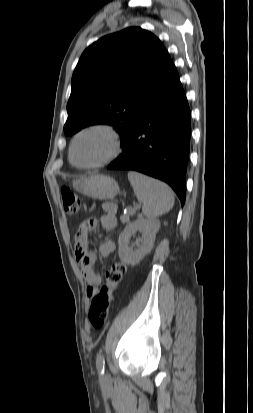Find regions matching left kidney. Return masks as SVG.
Returning a JSON list of instances; mask_svg holds the SVG:
<instances>
[{
    "instance_id": "left-kidney-1",
    "label": "left kidney",
    "mask_w": 253,
    "mask_h": 413,
    "mask_svg": "<svg viewBox=\"0 0 253 413\" xmlns=\"http://www.w3.org/2000/svg\"><path fill=\"white\" fill-rule=\"evenodd\" d=\"M160 228L157 220L139 218L129 223L118 238V254L120 260L128 265H136L153 248L156 233ZM142 233V239L137 244V249L129 246L130 238L137 232Z\"/></svg>"
}]
</instances>
